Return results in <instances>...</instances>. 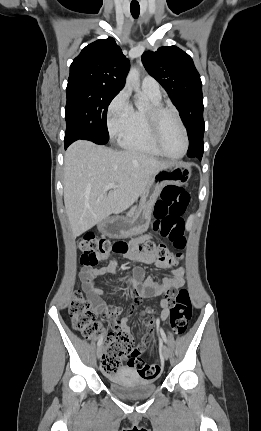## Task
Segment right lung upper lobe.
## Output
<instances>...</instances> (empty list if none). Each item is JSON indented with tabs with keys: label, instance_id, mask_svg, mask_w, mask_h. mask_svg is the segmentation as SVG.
Here are the masks:
<instances>
[{
	"label": "right lung upper lobe",
	"instance_id": "cb5924a9",
	"mask_svg": "<svg viewBox=\"0 0 261 431\" xmlns=\"http://www.w3.org/2000/svg\"><path fill=\"white\" fill-rule=\"evenodd\" d=\"M130 68L129 60L111 37L97 40L81 51L70 65L68 81H87L120 91Z\"/></svg>",
	"mask_w": 261,
	"mask_h": 431
}]
</instances>
